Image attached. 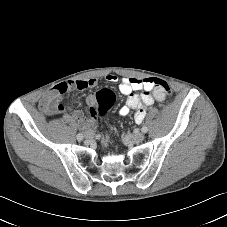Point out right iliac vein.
Instances as JSON below:
<instances>
[{"label":"right iliac vein","mask_w":227,"mask_h":227,"mask_svg":"<svg viewBox=\"0 0 227 227\" xmlns=\"http://www.w3.org/2000/svg\"><path fill=\"white\" fill-rule=\"evenodd\" d=\"M85 138H86L87 140H91V139L93 138L92 132H87L86 135H85Z\"/></svg>","instance_id":"right-iliac-vein-1"}]
</instances>
